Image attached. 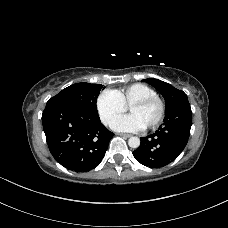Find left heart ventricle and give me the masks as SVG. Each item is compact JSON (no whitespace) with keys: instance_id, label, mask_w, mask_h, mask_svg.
<instances>
[{"instance_id":"b2bd125f","label":"left heart ventricle","mask_w":228,"mask_h":228,"mask_svg":"<svg viewBox=\"0 0 228 228\" xmlns=\"http://www.w3.org/2000/svg\"><path fill=\"white\" fill-rule=\"evenodd\" d=\"M129 112L136 115L145 127H147L157 118L159 106L157 103H152L144 107L134 106L129 108Z\"/></svg>"}]
</instances>
